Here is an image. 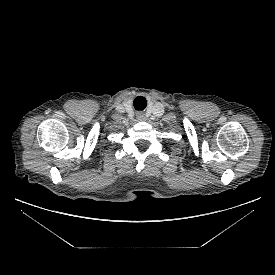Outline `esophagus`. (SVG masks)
Instances as JSON below:
<instances>
[{"mask_svg":"<svg viewBox=\"0 0 275 275\" xmlns=\"http://www.w3.org/2000/svg\"><path fill=\"white\" fill-rule=\"evenodd\" d=\"M137 118L139 120H143L144 119V115L142 113H139V114H137Z\"/></svg>","mask_w":275,"mask_h":275,"instance_id":"esophagus-1","label":"esophagus"}]
</instances>
